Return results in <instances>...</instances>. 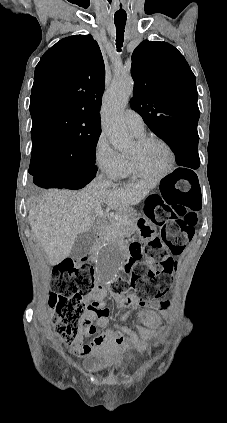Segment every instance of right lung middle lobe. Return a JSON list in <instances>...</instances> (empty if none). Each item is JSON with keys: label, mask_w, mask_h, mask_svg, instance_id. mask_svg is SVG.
Returning <instances> with one entry per match:
<instances>
[{"label": "right lung middle lobe", "mask_w": 227, "mask_h": 423, "mask_svg": "<svg viewBox=\"0 0 227 423\" xmlns=\"http://www.w3.org/2000/svg\"><path fill=\"white\" fill-rule=\"evenodd\" d=\"M100 133L86 136L69 147L50 148L32 151L29 173L36 175L43 172L45 162L56 160L70 165L74 171L96 174L95 151Z\"/></svg>", "instance_id": "dd1d6c3e"}]
</instances>
